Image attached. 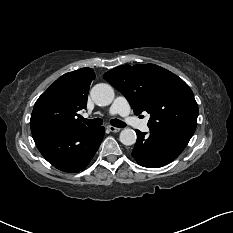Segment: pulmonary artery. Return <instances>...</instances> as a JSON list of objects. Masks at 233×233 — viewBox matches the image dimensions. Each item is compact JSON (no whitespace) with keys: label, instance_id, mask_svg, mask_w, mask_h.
Returning a JSON list of instances; mask_svg holds the SVG:
<instances>
[{"label":"pulmonary artery","instance_id":"obj_1","mask_svg":"<svg viewBox=\"0 0 233 233\" xmlns=\"http://www.w3.org/2000/svg\"><path fill=\"white\" fill-rule=\"evenodd\" d=\"M109 114L120 115L128 125L138 128L143 132L149 130L147 120H140L130 113L128 101L123 96H119L115 99L109 109Z\"/></svg>","mask_w":233,"mask_h":233}]
</instances>
